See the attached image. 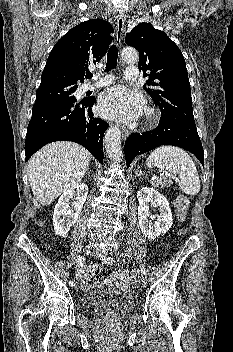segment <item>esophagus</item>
Masks as SVG:
<instances>
[{"instance_id":"obj_1","label":"esophagus","mask_w":233,"mask_h":352,"mask_svg":"<svg viewBox=\"0 0 233 352\" xmlns=\"http://www.w3.org/2000/svg\"><path fill=\"white\" fill-rule=\"evenodd\" d=\"M125 18L123 15H120L116 21V34H115V43L117 47L121 46L122 33L124 28ZM129 131L126 128L122 129V137L126 139L129 136Z\"/></svg>"}]
</instances>
